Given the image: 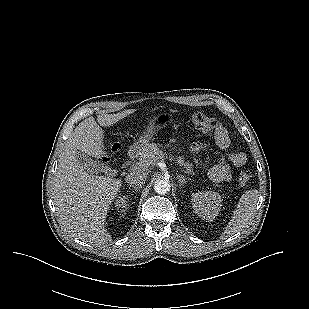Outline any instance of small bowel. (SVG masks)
Instances as JSON below:
<instances>
[{
	"label": "small bowel",
	"mask_w": 309,
	"mask_h": 309,
	"mask_svg": "<svg viewBox=\"0 0 309 309\" xmlns=\"http://www.w3.org/2000/svg\"><path fill=\"white\" fill-rule=\"evenodd\" d=\"M215 142L217 146L222 149L226 150L230 146V138L225 128H221L215 134ZM206 148V144L204 143H195L192 146L193 150H203ZM228 160L230 163L235 167H241L246 164L247 157L243 152H233L229 155ZM208 176L211 181L220 183V182H227L230 181L233 177V172L230 165L226 162L225 159H220L218 163L213 166L209 172Z\"/></svg>",
	"instance_id": "1"
}]
</instances>
